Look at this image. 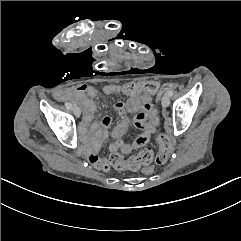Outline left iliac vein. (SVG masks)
<instances>
[{"instance_id": "left-iliac-vein-1", "label": "left iliac vein", "mask_w": 241, "mask_h": 241, "mask_svg": "<svg viewBox=\"0 0 241 241\" xmlns=\"http://www.w3.org/2000/svg\"><path fill=\"white\" fill-rule=\"evenodd\" d=\"M162 105L163 107H168L170 105V99L168 95H164L162 97Z\"/></svg>"}]
</instances>
